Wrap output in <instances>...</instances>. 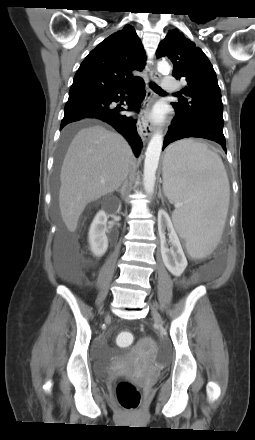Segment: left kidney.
<instances>
[{
	"mask_svg": "<svg viewBox=\"0 0 255 440\" xmlns=\"http://www.w3.org/2000/svg\"><path fill=\"white\" fill-rule=\"evenodd\" d=\"M164 228H167L169 231L170 249L165 241V236L163 234ZM158 229L161 238L162 260L171 274L178 277L184 272L188 263L172 221L164 210H159L158 212Z\"/></svg>",
	"mask_w": 255,
	"mask_h": 440,
	"instance_id": "obj_1",
	"label": "left kidney"
}]
</instances>
